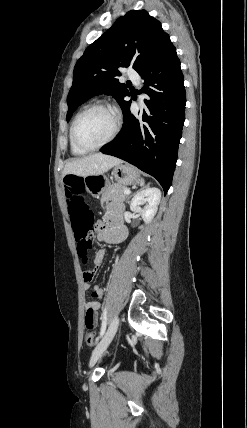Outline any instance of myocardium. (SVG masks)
<instances>
[{
	"label": "myocardium",
	"mask_w": 247,
	"mask_h": 428,
	"mask_svg": "<svg viewBox=\"0 0 247 428\" xmlns=\"http://www.w3.org/2000/svg\"><path fill=\"white\" fill-rule=\"evenodd\" d=\"M94 109H103V110H106V111L110 112L112 114V116H113V119H114V126H113V130H112L110 136L106 140H104L103 142H101V143H99L97 145H86V144H83L82 142H80L79 139L77 138L76 127H77V123H78L79 119L85 113H87V112H89L91 110H94ZM121 125H122L121 115H120V113L118 112V110L115 107H113L109 103L96 102V103H93V104L85 107L83 110H81L76 115L75 119L72 122L71 129H70L71 139H72L73 143L77 147H79V148H81L83 150H86V151L97 150V149H100V148L108 145L109 143H111L117 137L118 133L120 132Z\"/></svg>",
	"instance_id": "myocardium-1"
}]
</instances>
